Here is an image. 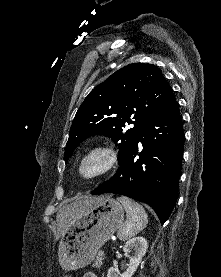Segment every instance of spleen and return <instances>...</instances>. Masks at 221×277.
<instances>
[{"label":"spleen","instance_id":"spleen-1","mask_svg":"<svg viewBox=\"0 0 221 277\" xmlns=\"http://www.w3.org/2000/svg\"><path fill=\"white\" fill-rule=\"evenodd\" d=\"M127 213L126 222L119 228L118 237L125 241L143 230L148 223V216L144 208L137 202L126 197H118Z\"/></svg>","mask_w":221,"mask_h":277}]
</instances>
